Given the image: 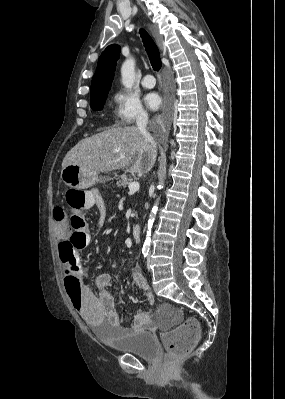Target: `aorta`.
Returning <instances> with one entry per match:
<instances>
[{
    "label": "aorta",
    "instance_id": "obj_1",
    "mask_svg": "<svg viewBox=\"0 0 285 399\" xmlns=\"http://www.w3.org/2000/svg\"><path fill=\"white\" fill-rule=\"evenodd\" d=\"M121 78H122V84L125 88L131 89L132 86L134 85L135 81V63L133 59H127L121 67ZM163 187V186H162ZM158 205H159V198L155 201L147 223V230H146V238L144 241V247L149 248L150 243H151V231L152 227L155 221V217L158 211Z\"/></svg>",
    "mask_w": 285,
    "mask_h": 399
}]
</instances>
